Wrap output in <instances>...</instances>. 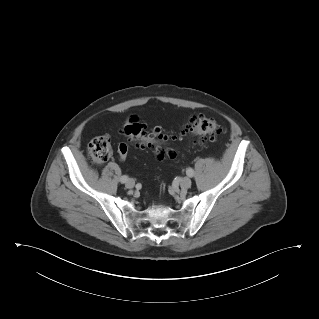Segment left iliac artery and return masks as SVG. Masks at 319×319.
Segmentation results:
<instances>
[{
  "instance_id": "obj_1",
  "label": "left iliac artery",
  "mask_w": 319,
  "mask_h": 319,
  "mask_svg": "<svg viewBox=\"0 0 319 319\" xmlns=\"http://www.w3.org/2000/svg\"><path fill=\"white\" fill-rule=\"evenodd\" d=\"M186 174L189 176V177H193L194 175V171L192 168H188L187 171H186Z\"/></svg>"
}]
</instances>
